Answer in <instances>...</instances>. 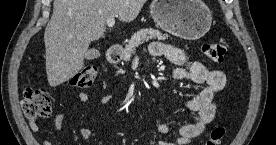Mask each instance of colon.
Instances as JSON below:
<instances>
[{"instance_id": "5ec220e1", "label": "colon", "mask_w": 276, "mask_h": 145, "mask_svg": "<svg viewBox=\"0 0 276 145\" xmlns=\"http://www.w3.org/2000/svg\"><path fill=\"white\" fill-rule=\"evenodd\" d=\"M204 55L213 63H222L226 55V47L221 43H209L202 47ZM97 76V68L87 65L70 78V85L78 88L90 87ZM22 110L32 121L47 119L52 114L51 97L43 88H26L23 92ZM225 135L222 126H216L210 133L205 145H219Z\"/></svg>"}]
</instances>
